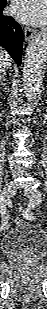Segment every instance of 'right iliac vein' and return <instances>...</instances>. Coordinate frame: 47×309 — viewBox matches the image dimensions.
Returning a JSON list of instances; mask_svg holds the SVG:
<instances>
[{"instance_id": "63e3f726", "label": "right iliac vein", "mask_w": 47, "mask_h": 309, "mask_svg": "<svg viewBox=\"0 0 47 309\" xmlns=\"http://www.w3.org/2000/svg\"><path fill=\"white\" fill-rule=\"evenodd\" d=\"M15 191H16V186L14 182H10L6 184L2 191V195L5 198V201L8 200L10 197H12L15 194ZM8 227H9V224L7 223V225H5L2 228V230H6L8 229Z\"/></svg>"}]
</instances>
